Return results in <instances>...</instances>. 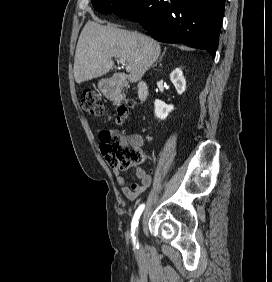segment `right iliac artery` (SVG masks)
Here are the masks:
<instances>
[{
	"label": "right iliac artery",
	"mask_w": 272,
	"mask_h": 282,
	"mask_svg": "<svg viewBox=\"0 0 272 282\" xmlns=\"http://www.w3.org/2000/svg\"><path fill=\"white\" fill-rule=\"evenodd\" d=\"M144 207H145L144 204H142L138 207V209L136 210L134 217L132 219V223H131V232H132L131 236H132L133 243L137 248L139 247V245H138V243H136L135 230H136V227L138 225V220L140 218V215L142 214V212L144 210Z\"/></svg>",
	"instance_id": "right-iliac-artery-1"
}]
</instances>
